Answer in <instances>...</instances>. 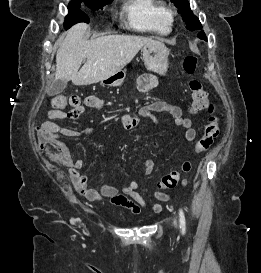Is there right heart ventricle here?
<instances>
[{"mask_svg":"<svg viewBox=\"0 0 261 273\" xmlns=\"http://www.w3.org/2000/svg\"><path fill=\"white\" fill-rule=\"evenodd\" d=\"M124 12L130 25L137 30L156 34L170 31L168 9L161 0H126Z\"/></svg>","mask_w":261,"mask_h":273,"instance_id":"1","label":"right heart ventricle"}]
</instances>
